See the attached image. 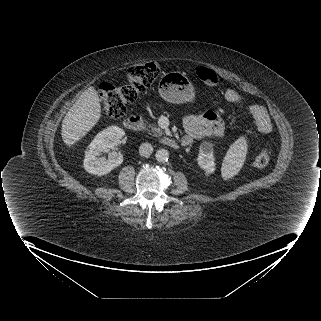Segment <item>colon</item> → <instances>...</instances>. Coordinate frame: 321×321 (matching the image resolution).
<instances>
[{"mask_svg":"<svg viewBox=\"0 0 321 321\" xmlns=\"http://www.w3.org/2000/svg\"><path fill=\"white\" fill-rule=\"evenodd\" d=\"M159 67L154 62L138 64L127 71V83L115 86L105 83L98 92L104 112L112 118H121L126 111V106L137 99L154 83L159 75ZM197 76L208 86H217L220 82L218 74L205 66L197 68ZM270 161V151L264 146L254 160L256 168H264Z\"/></svg>","mask_w":321,"mask_h":321,"instance_id":"obj_1","label":"colon"}]
</instances>
